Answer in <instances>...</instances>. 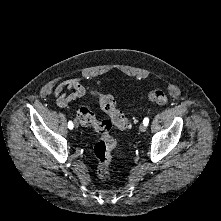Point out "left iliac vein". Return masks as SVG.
Returning <instances> with one entry per match:
<instances>
[{
	"label": "left iliac vein",
	"mask_w": 221,
	"mask_h": 221,
	"mask_svg": "<svg viewBox=\"0 0 221 221\" xmlns=\"http://www.w3.org/2000/svg\"><path fill=\"white\" fill-rule=\"evenodd\" d=\"M139 130H140L141 132H145V131L147 130V126H145L144 124H141V125L139 126Z\"/></svg>",
	"instance_id": "4c4485c4"
}]
</instances>
